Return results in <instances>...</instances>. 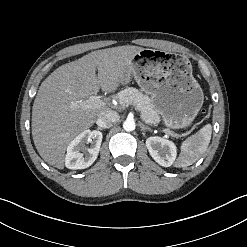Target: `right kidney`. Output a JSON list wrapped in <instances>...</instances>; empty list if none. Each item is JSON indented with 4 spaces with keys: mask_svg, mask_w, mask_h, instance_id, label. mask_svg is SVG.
<instances>
[{
    "mask_svg": "<svg viewBox=\"0 0 247 247\" xmlns=\"http://www.w3.org/2000/svg\"><path fill=\"white\" fill-rule=\"evenodd\" d=\"M102 137V133L96 130H84L76 136L67 147L66 167L75 170L91 166L97 159ZM85 143H91L90 148H86Z\"/></svg>",
    "mask_w": 247,
    "mask_h": 247,
    "instance_id": "right-kidney-1",
    "label": "right kidney"
}]
</instances>
